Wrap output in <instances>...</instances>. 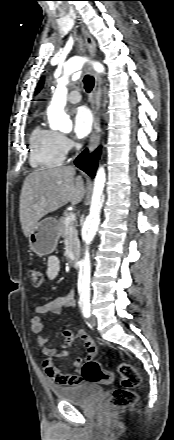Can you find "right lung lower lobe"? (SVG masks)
<instances>
[{
	"label": "right lung lower lobe",
	"mask_w": 174,
	"mask_h": 440,
	"mask_svg": "<svg viewBox=\"0 0 174 440\" xmlns=\"http://www.w3.org/2000/svg\"><path fill=\"white\" fill-rule=\"evenodd\" d=\"M100 147L94 151L92 154L88 153L86 149L82 154H80L74 161L75 165L86 172L89 176L94 178L97 169V163L100 158Z\"/></svg>",
	"instance_id": "right-lung-lower-lobe-1"
}]
</instances>
